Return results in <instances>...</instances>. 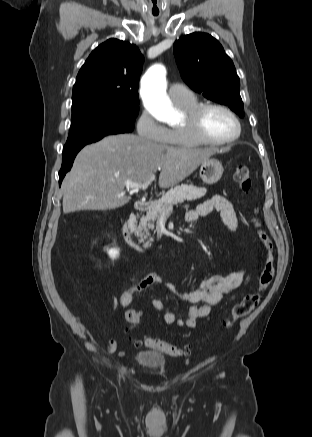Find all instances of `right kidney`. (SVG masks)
<instances>
[{"label":"right kidney","mask_w":312,"mask_h":437,"mask_svg":"<svg viewBox=\"0 0 312 437\" xmlns=\"http://www.w3.org/2000/svg\"><path fill=\"white\" fill-rule=\"evenodd\" d=\"M108 254H109V256L111 258L114 259V258H116L118 256L119 250H117V249H110V250H108Z\"/></svg>","instance_id":"ca27d5eb"}]
</instances>
